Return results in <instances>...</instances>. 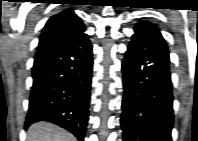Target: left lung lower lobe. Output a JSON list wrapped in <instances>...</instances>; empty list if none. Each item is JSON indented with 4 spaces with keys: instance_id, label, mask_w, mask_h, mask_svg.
<instances>
[{
    "instance_id": "obj_1",
    "label": "left lung lower lobe",
    "mask_w": 198,
    "mask_h": 141,
    "mask_svg": "<svg viewBox=\"0 0 198 141\" xmlns=\"http://www.w3.org/2000/svg\"><path fill=\"white\" fill-rule=\"evenodd\" d=\"M169 62L164 40L132 36L122 63L129 92L122 105L123 141H171L174 115ZM144 102L149 108L141 109Z\"/></svg>"
}]
</instances>
